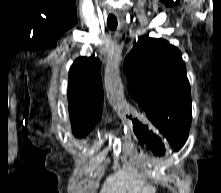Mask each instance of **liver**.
I'll return each mask as SVG.
<instances>
[{"mask_svg": "<svg viewBox=\"0 0 221 193\" xmlns=\"http://www.w3.org/2000/svg\"><path fill=\"white\" fill-rule=\"evenodd\" d=\"M135 183L129 174L119 170L104 182L100 193H136Z\"/></svg>", "mask_w": 221, "mask_h": 193, "instance_id": "obj_1", "label": "liver"}]
</instances>
